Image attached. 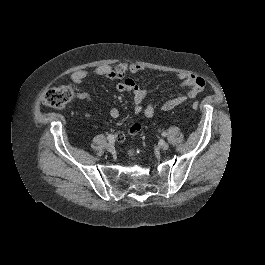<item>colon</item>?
<instances>
[{
    "label": "colon",
    "mask_w": 265,
    "mask_h": 265,
    "mask_svg": "<svg viewBox=\"0 0 265 265\" xmlns=\"http://www.w3.org/2000/svg\"><path fill=\"white\" fill-rule=\"evenodd\" d=\"M75 97V91L71 85H63L47 90L43 96V103L53 109H63ZM192 109L199 107L198 102L192 103Z\"/></svg>",
    "instance_id": "1"
}]
</instances>
